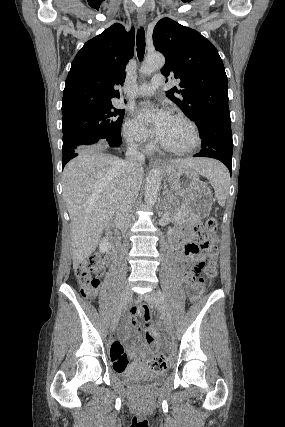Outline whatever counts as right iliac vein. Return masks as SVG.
I'll return each mask as SVG.
<instances>
[{
    "label": "right iliac vein",
    "mask_w": 285,
    "mask_h": 427,
    "mask_svg": "<svg viewBox=\"0 0 285 427\" xmlns=\"http://www.w3.org/2000/svg\"><path fill=\"white\" fill-rule=\"evenodd\" d=\"M131 295H132L131 289L128 286L125 287L124 290H123V293H122V301H123L124 305L129 301ZM120 315H121V309H119L116 312V314L113 316V319L111 321V330L112 331L115 330V328H116V326L118 324Z\"/></svg>",
    "instance_id": "63e3f726"
}]
</instances>
